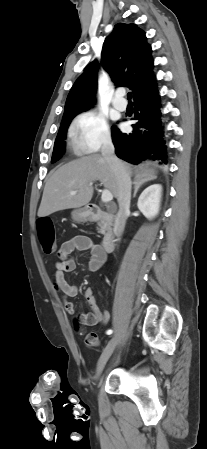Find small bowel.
Wrapping results in <instances>:
<instances>
[{
    "label": "small bowel",
    "mask_w": 207,
    "mask_h": 449,
    "mask_svg": "<svg viewBox=\"0 0 207 449\" xmlns=\"http://www.w3.org/2000/svg\"><path fill=\"white\" fill-rule=\"evenodd\" d=\"M75 251L89 252L88 269L92 272L98 271L107 260L106 252L87 236H75L61 245L59 249L60 260L55 263L54 285L63 294L65 309L69 314L76 312V305L66 299L78 294L77 285L70 284L66 277L67 273L74 271L76 268V261L73 257ZM84 296L91 308L90 313L82 315L84 322L88 325L107 323L109 314L98 306L93 290L88 288Z\"/></svg>",
    "instance_id": "small-bowel-1"
}]
</instances>
